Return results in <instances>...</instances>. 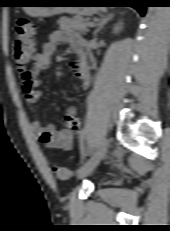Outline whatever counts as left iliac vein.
<instances>
[{"mask_svg": "<svg viewBox=\"0 0 170 231\" xmlns=\"http://www.w3.org/2000/svg\"><path fill=\"white\" fill-rule=\"evenodd\" d=\"M109 145H110L109 138H104L101 141L100 145L98 146L97 150L92 155V157L78 169L79 178H84L88 176L98 166L100 161L106 155Z\"/></svg>", "mask_w": 170, "mask_h": 231, "instance_id": "1", "label": "left iliac vein"}]
</instances>
